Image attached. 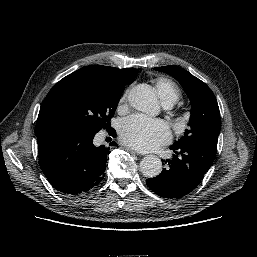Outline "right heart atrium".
Wrapping results in <instances>:
<instances>
[{
	"label": "right heart atrium",
	"mask_w": 257,
	"mask_h": 257,
	"mask_svg": "<svg viewBox=\"0 0 257 257\" xmlns=\"http://www.w3.org/2000/svg\"><path fill=\"white\" fill-rule=\"evenodd\" d=\"M126 101H127V93H125V94L121 97V99H120V103H119L120 108H123V107H124Z\"/></svg>",
	"instance_id": "right-heart-atrium-1"
}]
</instances>
